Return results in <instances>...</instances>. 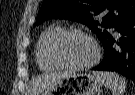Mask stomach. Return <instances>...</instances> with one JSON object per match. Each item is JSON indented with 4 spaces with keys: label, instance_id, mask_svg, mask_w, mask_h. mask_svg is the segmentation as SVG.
I'll return each instance as SVG.
<instances>
[{
    "label": "stomach",
    "instance_id": "obj_1",
    "mask_svg": "<svg viewBox=\"0 0 135 95\" xmlns=\"http://www.w3.org/2000/svg\"><path fill=\"white\" fill-rule=\"evenodd\" d=\"M103 83L95 74L71 73L52 84L41 95H95Z\"/></svg>",
    "mask_w": 135,
    "mask_h": 95
}]
</instances>
